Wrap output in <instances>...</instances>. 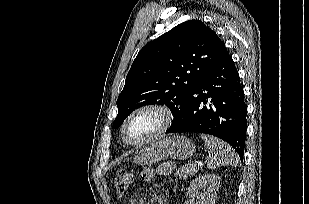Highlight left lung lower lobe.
<instances>
[{
	"mask_svg": "<svg viewBox=\"0 0 309 204\" xmlns=\"http://www.w3.org/2000/svg\"><path fill=\"white\" fill-rule=\"evenodd\" d=\"M246 114L239 74L226 50L222 59L201 77L187 103L174 116L167 133L197 132L216 136L229 143L243 159Z\"/></svg>",
	"mask_w": 309,
	"mask_h": 204,
	"instance_id": "0a47b994",
	"label": "left lung lower lobe"
}]
</instances>
